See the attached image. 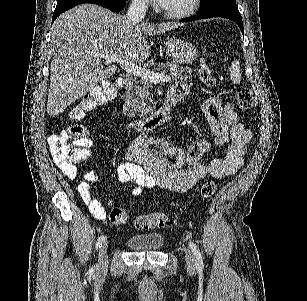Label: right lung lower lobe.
I'll list each match as a JSON object with an SVG mask.
<instances>
[{"label":"right lung lower lobe","mask_w":307,"mask_h":301,"mask_svg":"<svg viewBox=\"0 0 307 301\" xmlns=\"http://www.w3.org/2000/svg\"><path fill=\"white\" fill-rule=\"evenodd\" d=\"M126 0H58L56 9L52 17V23L54 20L64 11L75 7L82 3H93L101 5L110 9L113 12L118 13L125 5Z\"/></svg>","instance_id":"98d812e1"}]
</instances>
